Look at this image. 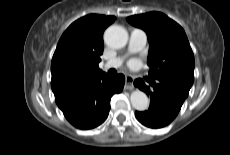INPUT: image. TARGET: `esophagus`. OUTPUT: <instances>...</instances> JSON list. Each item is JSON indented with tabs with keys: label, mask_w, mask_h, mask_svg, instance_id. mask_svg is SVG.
Returning a JSON list of instances; mask_svg holds the SVG:
<instances>
[{
	"label": "esophagus",
	"mask_w": 230,
	"mask_h": 155,
	"mask_svg": "<svg viewBox=\"0 0 230 155\" xmlns=\"http://www.w3.org/2000/svg\"><path fill=\"white\" fill-rule=\"evenodd\" d=\"M133 82H134V77L131 75H126L125 76V89H133Z\"/></svg>",
	"instance_id": "obj_1"
}]
</instances>
